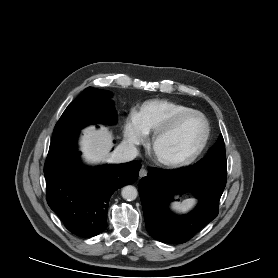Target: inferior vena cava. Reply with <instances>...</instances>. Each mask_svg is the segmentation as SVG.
Listing matches in <instances>:
<instances>
[{"label": "inferior vena cava", "instance_id": "inferior-vena-cava-1", "mask_svg": "<svg viewBox=\"0 0 278 278\" xmlns=\"http://www.w3.org/2000/svg\"><path fill=\"white\" fill-rule=\"evenodd\" d=\"M138 155L137 148L129 143L122 142L111 153L110 161L113 163H124L132 161Z\"/></svg>", "mask_w": 278, "mask_h": 278}]
</instances>
